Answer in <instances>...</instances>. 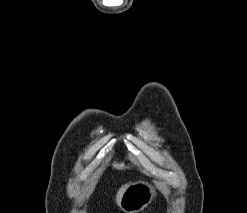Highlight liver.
<instances>
[{"mask_svg":"<svg viewBox=\"0 0 247 213\" xmlns=\"http://www.w3.org/2000/svg\"><path fill=\"white\" fill-rule=\"evenodd\" d=\"M128 186H129L128 184H125V185H123V186L118 190V192H117V194H116V202H117V204H119L121 195L123 194V192L125 191V189H126Z\"/></svg>","mask_w":247,"mask_h":213,"instance_id":"1","label":"liver"}]
</instances>
